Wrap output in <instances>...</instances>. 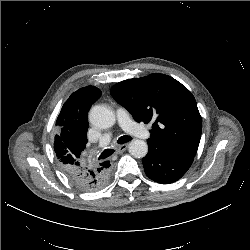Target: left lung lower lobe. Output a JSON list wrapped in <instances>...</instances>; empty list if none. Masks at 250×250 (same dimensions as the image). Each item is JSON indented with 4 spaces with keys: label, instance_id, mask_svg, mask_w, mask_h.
I'll return each instance as SVG.
<instances>
[{
    "label": "left lung lower lobe",
    "instance_id": "0a47b994",
    "mask_svg": "<svg viewBox=\"0 0 250 250\" xmlns=\"http://www.w3.org/2000/svg\"><path fill=\"white\" fill-rule=\"evenodd\" d=\"M148 147V153L142 159L144 171L157 183L169 184L179 180L194 159V156L171 153L149 143Z\"/></svg>",
    "mask_w": 250,
    "mask_h": 250
}]
</instances>
